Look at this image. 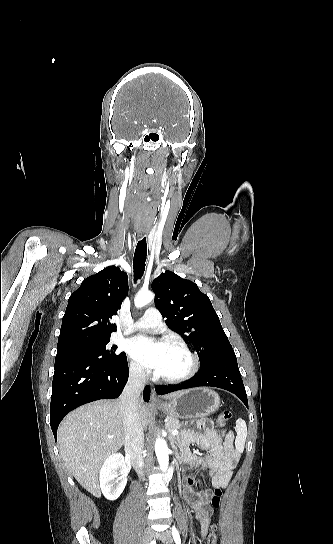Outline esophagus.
I'll return each mask as SVG.
<instances>
[{"label": "esophagus", "mask_w": 333, "mask_h": 544, "mask_svg": "<svg viewBox=\"0 0 333 544\" xmlns=\"http://www.w3.org/2000/svg\"><path fill=\"white\" fill-rule=\"evenodd\" d=\"M151 402L153 404H156V403L160 402V399L157 397L156 392H155V390L153 388L151 389Z\"/></svg>", "instance_id": "34e87169"}]
</instances>
